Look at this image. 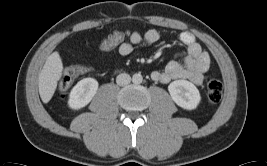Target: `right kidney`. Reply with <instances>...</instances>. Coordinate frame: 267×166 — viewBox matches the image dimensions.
<instances>
[{
    "label": "right kidney",
    "instance_id": "obj_1",
    "mask_svg": "<svg viewBox=\"0 0 267 166\" xmlns=\"http://www.w3.org/2000/svg\"><path fill=\"white\" fill-rule=\"evenodd\" d=\"M98 90V82L94 78L80 80L71 90L68 104L70 108L78 110L85 107Z\"/></svg>",
    "mask_w": 267,
    "mask_h": 166
}]
</instances>
